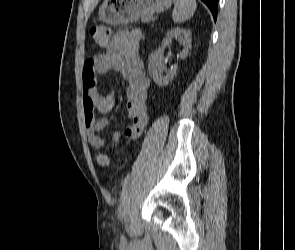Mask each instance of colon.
Instances as JSON below:
<instances>
[{
	"instance_id": "5ec220e1",
	"label": "colon",
	"mask_w": 295,
	"mask_h": 250,
	"mask_svg": "<svg viewBox=\"0 0 295 250\" xmlns=\"http://www.w3.org/2000/svg\"><path fill=\"white\" fill-rule=\"evenodd\" d=\"M89 34L91 39L99 46H106L110 42V31L104 26H93ZM97 161L101 166L108 164V158L103 154L97 156Z\"/></svg>"
}]
</instances>
